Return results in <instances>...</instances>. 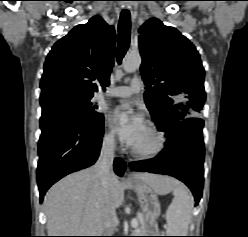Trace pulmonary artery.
<instances>
[{
	"mask_svg": "<svg viewBox=\"0 0 248 237\" xmlns=\"http://www.w3.org/2000/svg\"><path fill=\"white\" fill-rule=\"evenodd\" d=\"M142 80L135 78L131 81L129 86H119L114 89L107 91L104 95L113 96L119 98H127L133 94L139 93L142 90Z\"/></svg>",
	"mask_w": 248,
	"mask_h": 237,
	"instance_id": "obj_1",
	"label": "pulmonary artery"
}]
</instances>
